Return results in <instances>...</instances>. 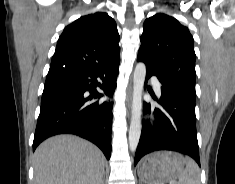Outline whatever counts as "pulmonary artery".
Returning a JSON list of instances; mask_svg holds the SVG:
<instances>
[{
	"instance_id": "1",
	"label": "pulmonary artery",
	"mask_w": 235,
	"mask_h": 184,
	"mask_svg": "<svg viewBox=\"0 0 235 184\" xmlns=\"http://www.w3.org/2000/svg\"><path fill=\"white\" fill-rule=\"evenodd\" d=\"M152 83H153L157 93L160 94V92H161V84H160V82L158 81V79L156 77H152Z\"/></svg>"
}]
</instances>
